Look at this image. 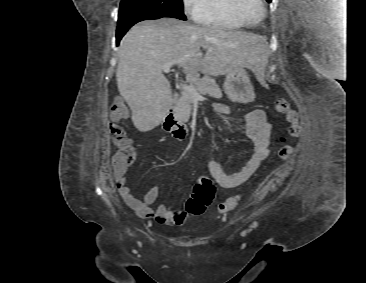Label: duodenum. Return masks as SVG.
I'll return each mask as SVG.
<instances>
[{
    "mask_svg": "<svg viewBox=\"0 0 366 283\" xmlns=\"http://www.w3.org/2000/svg\"><path fill=\"white\" fill-rule=\"evenodd\" d=\"M164 129L176 138L184 139L187 134V129L185 124L176 116L174 105H170L164 116Z\"/></svg>",
    "mask_w": 366,
    "mask_h": 283,
    "instance_id": "1",
    "label": "duodenum"
}]
</instances>
